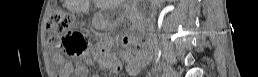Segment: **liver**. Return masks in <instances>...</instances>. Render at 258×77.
<instances>
[{
  "instance_id": "liver-1",
  "label": "liver",
  "mask_w": 258,
  "mask_h": 77,
  "mask_svg": "<svg viewBox=\"0 0 258 77\" xmlns=\"http://www.w3.org/2000/svg\"><path fill=\"white\" fill-rule=\"evenodd\" d=\"M98 8H109L119 3V0H93ZM69 10L87 13L90 6V0H66Z\"/></svg>"
}]
</instances>
